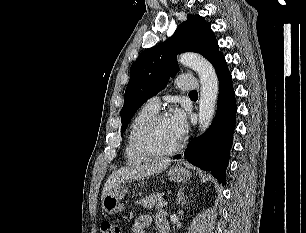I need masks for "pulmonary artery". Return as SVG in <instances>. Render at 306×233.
<instances>
[{
	"label": "pulmonary artery",
	"mask_w": 306,
	"mask_h": 233,
	"mask_svg": "<svg viewBox=\"0 0 306 233\" xmlns=\"http://www.w3.org/2000/svg\"><path fill=\"white\" fill-rule=\"evenodd\" d=\"M175 83L178 89L182 91H194L197 88L195 78L188 75H179ZM146 104L157 110L160 105V99L158 96L151 97Z\"/></svg>",
	"instance_id": "obj_1"
}]
</instances>
